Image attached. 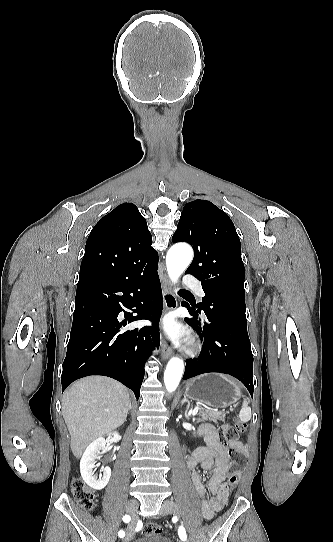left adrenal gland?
I'll list each match as a JSON object with an SVG mask.
<instances>
[{"mask_svg":"<svg viewBox=\"0 0 333 542\" xmlns=\"http://www.w3.org/2000/svg\"><path fill=\"white\" fill-rule=\"evenodd\" d=\"M185 402H187V406H186V410H185L184 416H185V418H187V420H188L187 414H188V410H189V408H190V402H189V400H187L186 394H184V398H183V400H181V406H183V404H185Z\"/></svg>","mask_w":333,"mask_h":542,"instance_id":"left-adrenal-gland-1","label":"left adrenal gland"}]
</instances>
